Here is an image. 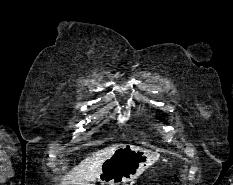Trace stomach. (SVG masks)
I'll return each instance as SVG.
<instances>
[{"mask_svg":"<svg viewBox=\"0 0 233 185\" xmlns=\"http://www.w3.org/2000/svg\"><path fill=\"white\" fill-rule=\"evenodd\" d=\"M158 160L150 150L126 144L118 148L101 166L98 181L102 185H125L137 179Z\"/></svg>","mask_w":233,"mask_h":185,"instance_id":"stomach-1","label":"stomach"}]
</instances>
